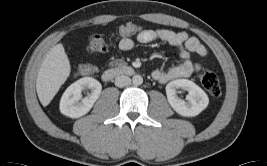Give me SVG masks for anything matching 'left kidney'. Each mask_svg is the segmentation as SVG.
Wrapping results in <instances>:
<instances>
[{"label": "left kidney", "instance_id": "5707ae66", "mask_svg": "<svg viewBox=\"0 0 267 166\" xmlns=\"http://www.w3.org/2000/svg\"><path fill=\"white\" fill-rule=\"evenodd\" d=\"M180 88L188 92L187 102L177 96V89ZM166 94L171 107L185 117L197 116L209 103V98L204 90L188 79L169 82L166 86Z\"/></svg>", "mask_w": 267, "mask_h": 166}]
</instances>
